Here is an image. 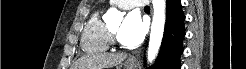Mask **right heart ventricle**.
Returning <instances> with one entry per match:
<instances>
[{
  "instance_id": "right-heart-ventricle-1",
  "label": "right heart ventricle",
  "mask_w": 246,
  "mask_h": 69,
  "mask_svg": "<svg viewBox=\"0 0 246 69\" xmlns=\"http://www.w3.org/2000/svg\"><path fill=\"white\" fill-rule=\"evenodd\" d=\"M110 28L102 17L101 10H96L86 23L81 39L84 52H104L112 45Z\"/></svg>"
}]
</instances>
